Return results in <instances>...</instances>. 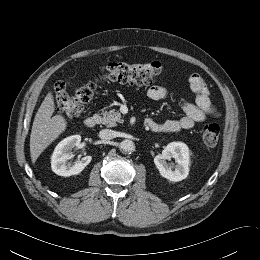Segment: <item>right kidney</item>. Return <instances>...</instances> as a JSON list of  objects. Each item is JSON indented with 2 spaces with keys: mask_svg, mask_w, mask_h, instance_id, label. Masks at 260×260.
<instances>
[{
  "mask_svg": "<svg viewBox=\"0 0 260 260\" xmlns=\"http://www.w3.org/2000/svg\"><path fill=\"white\" fill-rule=\"evenodd\" d=\"M81 142L80 135H73L63 139L55 148L51 157V168L59 176L77 175L91 162V156H85L76 162H69L72 150Z\"/></svg>",
  "mask_w": 260,
  "mask_h": 260,
  "instance_id": "right-kidney-1",
  "label": "right kidney"
}]
</instances>
